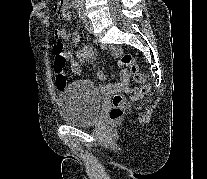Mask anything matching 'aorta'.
Here are the masks:
<instances>
[{
    "mask_svg": "<svg viewBox=\"0 0 207 179\" xmlns=\"http://www.w3.org/2000/svg\"><path fill=\"white\" fill-rule=\"evenodd\" d=\"M84 0H72V3L75 5H82Z\"/></svg>",
    "mask_w": 207,
    "mask_h": 179,
    "instance_id": "762f6f07",
    "label": "aorta"
}]
</instances>
